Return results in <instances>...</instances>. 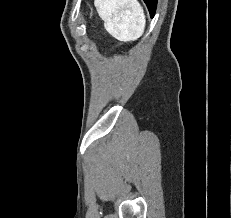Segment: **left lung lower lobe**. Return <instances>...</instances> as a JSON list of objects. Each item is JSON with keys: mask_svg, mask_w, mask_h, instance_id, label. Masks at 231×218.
<instances>
[{"mask_svg": "<svg viewBox=\"0 0 231 218\" xmlns=\"http://www.w3.org/2000/svg\"><path fill=\"white\" fill-rule=\"evenodd\" d=\"M144 2L149 9L151 17H153L156 11L157 0H144Z\"/></svg>", "mask_w": 231, "mask_h": 218, "instance_id": "1", "label": "left lung lower lobe"}]
</instances>
